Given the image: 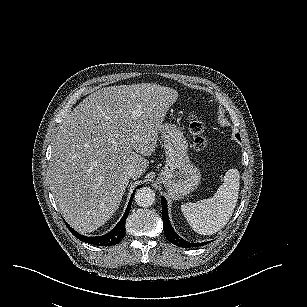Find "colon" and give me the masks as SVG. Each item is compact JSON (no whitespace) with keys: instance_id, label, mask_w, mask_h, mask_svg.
Returning <instances> with one entry per match:
<instances>
[{"instance_id":"1","label":"colon","mask_w":307,"mask_h":307,"mask_svg":"<svg viewBox=\"0 0 307 307\" xmlns=\"http://www.w3.org/2000/svg\"><path fill=\"white\" fill-rule=\"evenodd\" d=\"M189 128L194 138V148L198 151L205 150L210 143L206 122L199 115L193 113L190 116Z\"/></svg>"}]
</instances>
